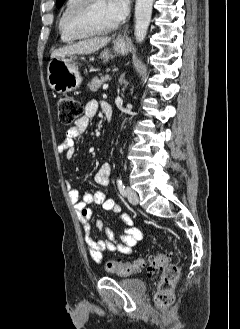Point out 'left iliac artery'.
<instances>
[{
	"label": "left iliac artery",
	"instance_id": "left-iliac-artery-1",
	"mask_svg": "<svg viewBox=\"0 0 240 329\" xmlns=\"http://www.w3.org/2000/svg\"><path fill=\"white\" fill-rule=\"evenodd\" d=\"M117 186H118V189H119L121 195L125 196L126 195V190H125V186H124L121 178L117 179Z\"/></svg>",
	"mask_w": 240,
	"mask_h": 329
}]
</instances>
